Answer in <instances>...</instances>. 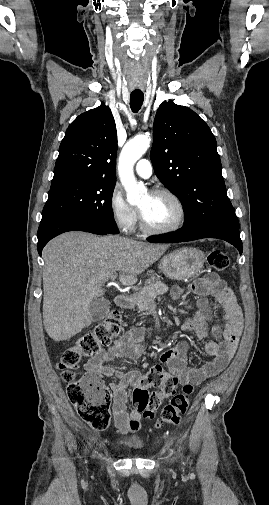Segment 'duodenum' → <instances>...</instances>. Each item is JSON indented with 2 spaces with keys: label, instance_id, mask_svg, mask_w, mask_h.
I'll return each mask as SVG.
<instances>
[{
  "label": "duodenum",
  "instance_id": "1",
  "mask_svg": "<svg viewBox=\"0 0 269 505\" xmlns=\"http://www.w3.org/2000/svg\"><path fill=\"white\" fill-rule=\"evenodd\" d=\"M115 303L120 308H129L133 305L131 296L127 294H121L116 296Z\"/></svg>",
  "mask_w": 269,
  "mask_h": 505
}]
</instances>
